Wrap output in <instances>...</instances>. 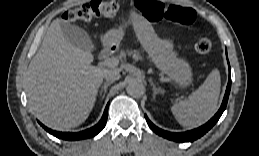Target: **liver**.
Masks as SVG:
<instances>
[{
  "instance_id": "6515ba94",
  "label": "liver",
  "mask_w": 259,
  "mask_h": 156,
  "mask_svg": "<svg viewBox=\"0 0 259 156\" xmlns=\"http://www.w3.org/2000/svg\"><path fill=\"white\" fill-rule=\"evenodd\" d=\"M93 59L65 39L60 19L51 23L27 71L30 110L47 127L69 130L88 118L108 70Z\"/></svg>"
}]
</instances>
